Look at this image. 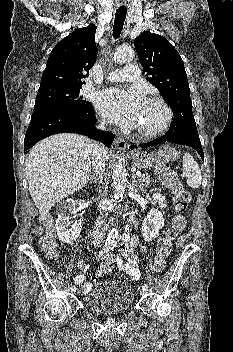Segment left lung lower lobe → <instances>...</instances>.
<instances>
[{
	"instance_id": "0a47b994",
	"label": "left lung lower lobe",
	"mask_w": 233,
	"mask_h": 352,
	"mask_svg": "<svg viewBox=\"0 0 233 352\" xmlns=\"http://www.w3.org/2000/svg\"><path fill=\"white\" fill-rule=\"evenodd\" d=\"M165 142H171V143H176L180 145H186L189 147L194 148L202 160L204 161V153L203 149L201 146V142L199 139L198 131H187L183 133H176V132H171L168 131L165 135L162 137H159L151 142L140 144V147L146 148V147H151L157 144L165 143ZM136 146L132 145L130 148L134 149Z\"/></svg>"
}]
</instances>
